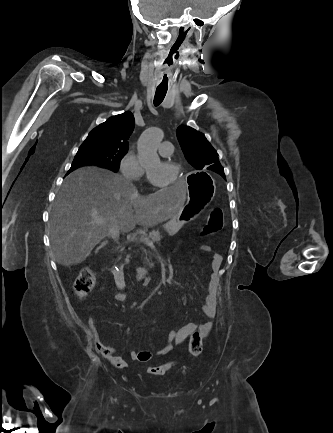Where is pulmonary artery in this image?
Here are the masks:
<instances>
[{"instance_id": "pulmonary-artery-1", "label": "pulmonary artery", "mask_w": 333, "mask_h": 433, "mask_svg": "<svg viewBox=\"0 0 333 433\" xmlns=\"http://www.w3.org/2000/svg\"><path fill=\"white\" fill-rule=\"evenodd\" d=\"M159 153L162 156H170L173 153V145L168 141L162 142L159 145Z\"/></svg>"}]
</instances>
